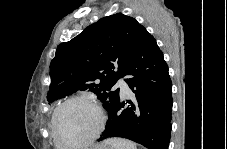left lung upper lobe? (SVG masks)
I'll use <instances>...</instances> for the list:
<instances>
[{"label": "left lung upper lobe", "instance_id": "5c2ea615", "mask_svg": "<svg viewBox=\"0 0 227 149\" xmlns=\"http://www.w3.org/2000/svg\"><path fill=\"white\" fill-rule=\"evenodd\" d=\"M142 27L134 18L117 13L60 44L50 65L48 102L78 90H89L109 112L119 98V89L111 88L123 76Z\"/></svg>", "mask_w": 227, "mask_h": 149}]
</instances>
